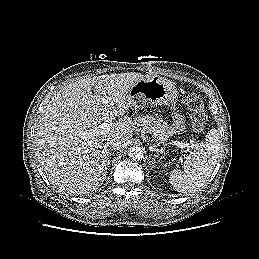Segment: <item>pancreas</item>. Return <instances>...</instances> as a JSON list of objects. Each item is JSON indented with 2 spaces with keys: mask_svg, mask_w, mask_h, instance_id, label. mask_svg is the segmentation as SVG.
Instances as JSON below:
<instances>
[{
  "mask_svg": "<svg viewBox=\"0 0 259 259\" xmlns=\"http://www.w3.org/2000/svg\"><path fill=\"white\" fill-rule=\"evenodd\" d=\"M134 122L137 125L143 126L159 141H164L169 135L174 134L173 129L168 127L167 122H163L162 118H156L153 115H140L134 119Z\"/></svg>",
  "mask_w": 259,
  "mask_h": 259,
  "instance_id": "pancreas-1",
  "label": "pancreas"
}]
</instances>
